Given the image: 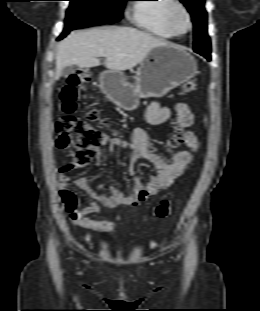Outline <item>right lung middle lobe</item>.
Listing matches in <instances>:
<instances>
[{
  "label": "right lung middle lobe",
  "instance_id": "obj_1",
  "mask_svg": "<svg viewBox=\"0 0 260 311\" xmlns=\"http://www.w3.org/2000/svg\"><path fill=\"white\" fill-rule=\"evenodd\" d=\"M64 34L73 29L110 24L122 18L124 4L129 0H69Z\"/></svg>",
  "mask_w": 260,
  "mask_h": 311
}]
</instances>
